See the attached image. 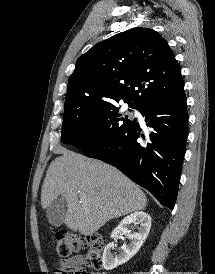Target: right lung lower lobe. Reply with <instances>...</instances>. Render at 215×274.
<instances>
[{"instance_id":"1","label":"right lung lower lobe","mask_w":215,"mask_h":274,"mask_svg":"<svg viewBox=\"0 0 215 274\" xmlns=\"http://www.w3.org/2000/svg\"><path fill=\"white\" fill-rule=\"evenodd\" d=\"M138 110L150 127L146 135L133 122L83 153L115 166L163 206L173 209L188 136L185 93L174 99L151 101Z\"/></svg>"}]
</instances>
